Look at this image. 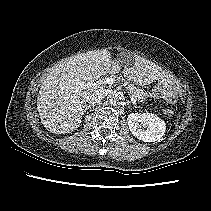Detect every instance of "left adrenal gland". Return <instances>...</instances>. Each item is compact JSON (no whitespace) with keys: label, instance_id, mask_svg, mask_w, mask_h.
Listing matches in <instances>:
<instances>
[{"label":"left adrenal gland","instance_id":"a2214340","mask_svg":"<svg viewBox=\"0 0 211 211\" xmlns=\"http://www.w3.org/2000/svg\"><path fill=\"white\" fill-rule=\"evenodd\" d=\"M133 107H134V108H137V106H135V105H134Z\"/></svg>","mask_w":211,"mask_h":211}]
</instances>
